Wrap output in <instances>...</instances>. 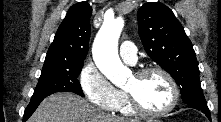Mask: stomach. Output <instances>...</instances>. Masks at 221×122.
Returning <instances> with one entry per match:
<instances>
[{"mask_svg": "<svg viewBox=\"0 0 221 122\" xmlns=\"http://www.w3.org/2000/svg\"><path fill=\"white\" fill-rule=\"evenodd\" d=\"M146 122H160V121H158V120H148Z\"/></svg>", "mask_w": 221, "mask_h": 122, "instance_id": "0dacf381", "label": "stomach"}]
</instances>
